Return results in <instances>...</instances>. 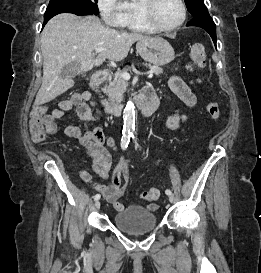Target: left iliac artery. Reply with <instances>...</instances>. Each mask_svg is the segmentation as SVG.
<instances>
[{
    "label": "left iliac artery",
    "instance_id": "left-iliac-artery-1",
    "mask_svg": "<svg viewBox=\"0 0 261 273\" xmlns=\"http://www.w3.org/2000/svg\"><path fill=\"white\" fill-rule=\"evenodd\" d=\"M133 130H135V129H133ZM131 137L135 140V143H137V142H136V139H135V136H134V134H133V132H131ZM137 145H138V144H137ZM165 193H166L167 195L172 194V192H171L170 189H166Z\"/></svg>",
    "mask_w": 261,
    "mask_h": 273
}]
</instances>
